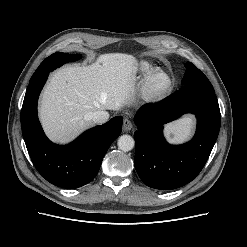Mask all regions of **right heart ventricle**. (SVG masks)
Returning a JSON list of instances; mask_svg holds the SVG:
<instances>
[{"mask_svg": "<svg viewBox=\"0 0 247 247\" xmlns=\"http://www.w3.org/2000/svg\"><path fill=\"white\" fill-rule=\"evenodd\" d=\"M155 69L157 68H155L152 64L148 62H143L140 64L138 72H139L140 77L144 79L151 71Z\"/></svg>", "mask_w": 247, "mask_h": 247, "instance_id": "1", "label": "right heart ventricle"}]
</instances>
